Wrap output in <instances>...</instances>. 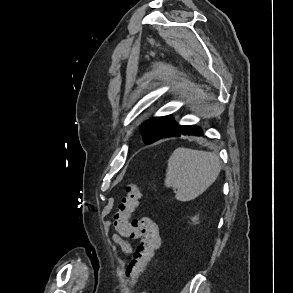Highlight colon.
I'll use <instances>...</instances> for the list:
<instances>
[{"mask_svg":"<svg viewBox=\"0 0 293 293\" xmlns=\"http://www.w3.org/2000/svg\"><path fill=\"white\" fill-rule=\"evenodd\" d=\"M141 196V188L137 184L127 185L126 195L114 217L115 227L121 236L140 239V244L133 252L126 269L128 281L131 283L144 272L146 265L161 245L159 228L153 219L130 220L131 213Z\"/></svg>","mask_w":293,"mask_h":293,"instance_id":"colon-1","label":"colon"}]
</instances>
